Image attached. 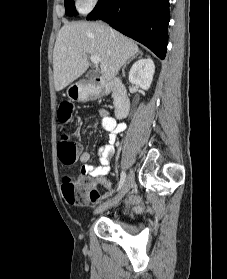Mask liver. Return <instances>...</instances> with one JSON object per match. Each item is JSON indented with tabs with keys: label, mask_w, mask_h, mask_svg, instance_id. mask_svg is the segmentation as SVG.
<instances>
[{
	"label": "liver",
	"mask_w": 227,
	"mask_h": 279,
	"mask_svg": "<svg viewBox=\"0 0 227 279\" xmlns=\"http://www.w3.org/2000/svg\"><path fill=\"white\" fill-rule=\"evenodd\" d=\"M139 52L137 44L100 22H71L59 31L53 51L56 91L63 90L89 67L88 55L100 58L103 79L110 81Z\"/></svg>",
	"instance_id": "1"
}]
</instances>
